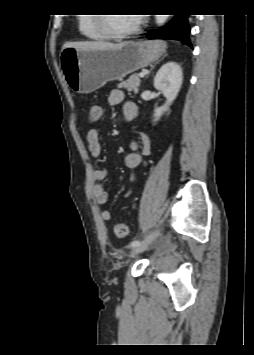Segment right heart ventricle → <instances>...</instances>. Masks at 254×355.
Here are the masks:
<instances>
[{
	"mask_svg": "<svg viewBox=\"0 0 254 355\" xmlns=\"http://www.w3.org/2000/svg\"><path fill=\"white\" fill-rule=\"evenodd\" d=\"M97 16H80L78 19V28L80 33L90 40H102L104 36L98 31L96 27Z\"/></svg>",
	"mask_w": 254,
	"mask_h": 355,
	"instance_id": "obj_1",
	"label": "right heart ventricle"
}]
</instances>
